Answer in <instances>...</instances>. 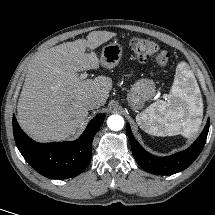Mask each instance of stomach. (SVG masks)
<instances>
[{
    "label": "stomach",
    "instance_id": "0dacf381",
    "mask_svg": "<svg viewBox=\"0 0 215 215\" xmlns=\"http://www.w3.org/2000/svg\"><path fill=\"white\" fill-rule=\"evenodd\" d=\"M123 53V47L116 42L103 47L100 63L103 67L111 69L119 63ZM156 93L153 80L148 78L138 79L131 87L127 101L133 110L141 109L145 102L150 100Z\"/></svg>",
    "mask_w": 215,
    "mask_h": 215
}]
</instances>
